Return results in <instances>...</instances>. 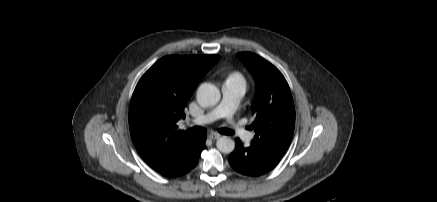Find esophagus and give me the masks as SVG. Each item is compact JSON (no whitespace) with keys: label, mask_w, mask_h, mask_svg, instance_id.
Wrapping results in <instances>:
<instances>
[{"label":"esophagus","mask_w":437,"mask_h":202,"mask_svg":"<svg viewBox=\"0 0 437 202\" xmlns=\"http://www.w3.org/2000/svg\"><path fill=\"white\" fill-rule=\"evenodd\" d=\"M220 137H221V135L218 134V133H211V134L209 135V138H210L211 140H216V139H219Z\"/></svg>","instance_id":"obj_1"}]
</instances>
